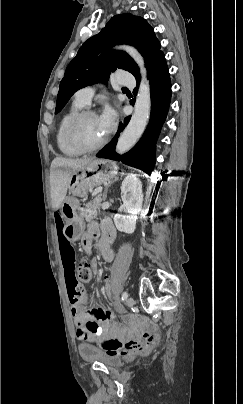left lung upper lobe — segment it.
<instances>
[{
  "label": "left lung upper lobe",
  "mask_w": 243,
  "mask_h": 404,
  "mask_svg": "<svg viewBox=\"0 0 243 404\" xmlns=\"http://www.w3.org/2000/svg\"><path fill=\"white\" fill-rule=\"evenodd\" d=\"M115 43L135 46L142 54L147 69L161 54L160 42L154 30L141 17L130 13L113 16L102 31L89 38L69 63L60 83L55 113L62 110L79 89L99 81H106L110 72L123 69L140 76L133 59L123 51H112Z\"/></svg>",
  "instance_id": "1"
}]
</instances>
